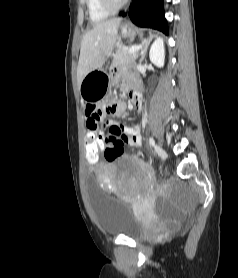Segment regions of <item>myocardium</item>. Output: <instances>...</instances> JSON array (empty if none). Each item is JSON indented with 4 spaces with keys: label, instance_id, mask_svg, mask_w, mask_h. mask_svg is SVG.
Returning <instances> with one entry per match:
<instances>
[{
    "label": "myocardium",
    "instance_id": "1",
    "mask_svg": "<svg viewBox=\"0 0 238 278\" xmlns=\"http://www.w3.org/2000/svg\"><path fill=\"white\" fill-rule=\"evenodd\" d=\"M128 0H100L101 6L109 13L116 12L121 9Z\"/></svg>",
    "mask_w": 238,
    "mask_h": 278
}]
</instances>
